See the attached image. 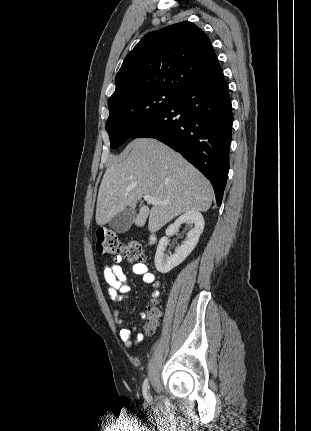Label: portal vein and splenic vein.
I'll return each mask as SVG.
<instances>
[{"instance_id": "1", "label": "portal vein and splenic vein", "mask_w": 311, "mask_h": 431, "mask_svg": "<svg viewBox=\"0 0 311 431\" xmlns=\"http://www.w3.org/2000/svg\"><path fill=\"white\" fill-rule=\"evenodd\" d=\"M143 198L147 204H157V206H166L168 204V202H157L152 196H143Z\"/></svg>"}]
</instances>
